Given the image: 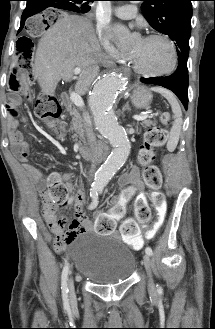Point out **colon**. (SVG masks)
I'll return each mask as SVG.
<instances>
[{"label": "colon", "mask_w": 215, "mask_h": 329, "mask_svg": "<svg viewBox=\"0 0 215 329\" xmlns=\"http://www.w3.org/2000/svg\"><path fill=\"white\" fill-rule=\"evenodd\" d=\"M64 14H32V19H28V25H24L25 37H17L18 53L13 56V61H8L12 79L7 92L6 109H23V103L27 98H32L30 92L26 91L27 68L30 67L29 59L33 55V44H38V38H50V26H54V21H64ZM26 94V96H25ZM35 115L49 124L53 125L60 132V111L53 98L40 97L35 102ZM161 120L167 124L170 115L164 112ZM168 131L164 127L151 129L146 133L145 144L142 147L139 160L143 166V178L150 192V203L152 205L155 224L146 234L152 238L162 227L163 221L169 217V206H166L164 195L160 192L162 186V174L160 169L153 164L156 156V149L163 146L167 140ZM45 202L54 210L60 211L69 206L77 205L81 200V195L71 196L68 183L58 175H52L49 179L48 187L44 192ZM147 201V200H146ZM149 206V203H148ZM138 222L145 223L149 218H136ZM109 220V219H98ZM74 224L65 220L52 225V230L57 234V244L63 245L69 242L71 230ZM122 236L127 240H133L140 236V227L133 220H126L121 227Z\"/></svg>", "instance_id": "5ec220e1"}]
</instances>
